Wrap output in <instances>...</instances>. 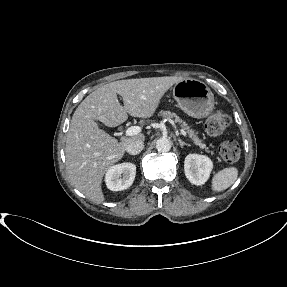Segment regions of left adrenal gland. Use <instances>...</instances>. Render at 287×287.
I'll list each match as a JSON object with an SVG mask.
<instances>
[{
	"mask_svg": "<svg viewBox=\"0 0 287 287\" xmlns=\"http://www.w3.org/2000/svg\"><path fill=\"white\" fill-rule=\"evenodd\" d=\"M178 142H179L181 148H183L184 145H186V146H191L190 144H188V143L182 141L180 138H178Z\"/></svg>",
	"mask_w": 287,
	"mask_h": 287,
	"instance_id": "a2214340",
	"label": "left adrenal gland"
}]
</instances>
